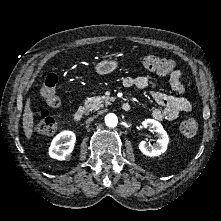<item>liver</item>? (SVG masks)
Here are the masks:
<instances>
[{"label": "liver", "mask_w": 221, "mask_h": 221, "mask_svg": "<svg viewBox=\"0 0 221 221\" xmlns=\"http://www.w3.org/2000/svg\"><path fill=\"white\" fill-rule=\"evenodd\" d=\"M34 113L31 109V100L27 99L23 114V130L27 139H30L33 132Z\"/></svg>", "instance_id": "1"}]
</instances>
